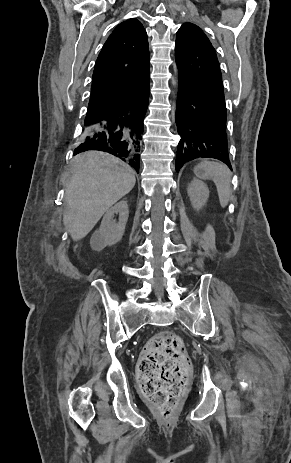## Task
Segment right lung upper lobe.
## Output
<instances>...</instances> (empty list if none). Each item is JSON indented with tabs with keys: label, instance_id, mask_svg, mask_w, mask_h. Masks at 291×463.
<instances>
[{
	"label": "right lung upper lobe",
	"instance_id": "cb5924a9",
	"mask_svg": "<svg viewBox=\"0 0 291 463\" xmlns=\"http://www.w3.org/2000/svg\"><path fill=\"white\" fill-rule=\"evenodd\" d=\"M147 33L137 19L120 23L97 58L84 123L118 108L130 95L149 85Z\"/></svg>",
	"mask_w": 291,
	"mask_h": 463
}]
</instances>
